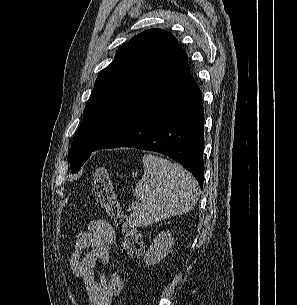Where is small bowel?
<instances>
[{
	"mask_svg": "<svg viewBox=\"0 0 297 305\" xmlns=\"http://www.w3.org/2000/svg\"><path fill=\"white\" fill-rule=\"evenodd\" d=\"M116 241L114 229L105 219H95L86 230L78 232L70 241L74 249L70 256V267L84 286L89 305H111L114 298L122 294L123 279L112 274L97 272L111 257V247Z\"/></svg>",
	"mask_w": 297,
	"mask_h": 305,
	"instance_id": "small-bowel-1",
	"label": "small bowel"
}]
</instances>
